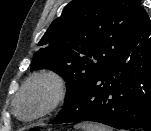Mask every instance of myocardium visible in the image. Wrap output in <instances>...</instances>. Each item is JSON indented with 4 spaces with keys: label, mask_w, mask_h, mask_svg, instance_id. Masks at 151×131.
Returning a JSON list of instances; mask_svg holds the SVG:
<instances>
[{
    "label": "myocardium",
    "mask_w": 151,
    "mask_h": 131,
    "mask_svg": "<svg viewBox=\"0 0 151 131\" xmlns=\"http://www.w3.org/2000/svg\"><path fill=\"white\" fill-rule=\"evenodd\" d=\"M37 85H47L50 88V96L47 102L35 113L24 116L20 111V102L25 94ZM67 96V82L58 72L43 70L34 73L23 83L21 89L14 98L15 112L22 118L32 120L48 115L53 112Z\"/></svg>",
    "instance_id": "myocardium-1"
}]
</instances>
